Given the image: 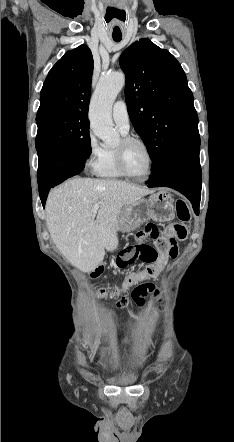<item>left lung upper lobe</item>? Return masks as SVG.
<instances>
[{
  "label": "left lung upper lobe",
  "instance_id": "5c2ea615",
  "mask_svg": "<svg viewBox=\"0 0 234 442\" xmlns=\"http://www.w3.org/2000/svg\"><path fill=\"white\" fill-rule=\"evenodd\" d=\"M119 63L126 75L129 116L148 149L154 176L183 140L198 133L193 95L180 63L148 39L133 43Z\"/></svg>",
  "mask_w": 234,
  "mask_h": 442
}]
</instances>
